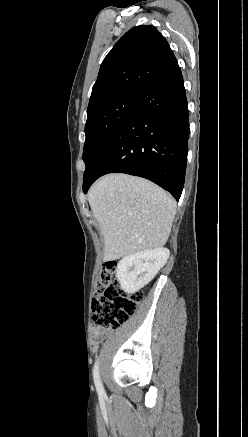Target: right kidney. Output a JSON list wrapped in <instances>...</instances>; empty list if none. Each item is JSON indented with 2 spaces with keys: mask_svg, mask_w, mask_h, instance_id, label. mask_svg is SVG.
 <instances>
[{
  "mask_svg": "<svg viewBox=\"0 0 248 437\" xmlns=\"http://www.w3.org/2000/svg\"><path fill=\"white\" fill-rule=\"evenodd\" d=\"M170 252L167 248L145 250L128 255L117 265L116 276L121 289L128 294L146 286L165 265Z\"/></svg>",
  "mask_w": 248,
  "mask_h": 437,
  "instance_id": "ca27d5eb",
  "label": "right kidney"
}]
</instances>
